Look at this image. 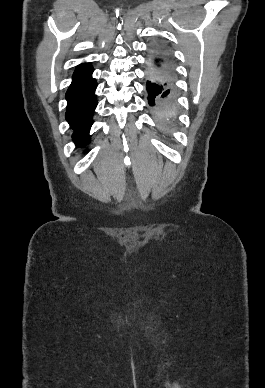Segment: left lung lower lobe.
<instances>
[{
  "label": "left lung lower lobe",
  "instance_id": "0a47b994",
  "mask_svg": "<svg viewBox=\"0 0 265 388\" xmlns=\"http://www.w3.org/2000/svg\"><path fill=\"white\" fill-rule=\"evenodd\" d=\"M173 74L148 65L146 91L148 104L158 124L169 128L175 121L176 89Z\"/></svg>",
  "mask_w": 265,
  "mask_h": 388
}]
</instances>
